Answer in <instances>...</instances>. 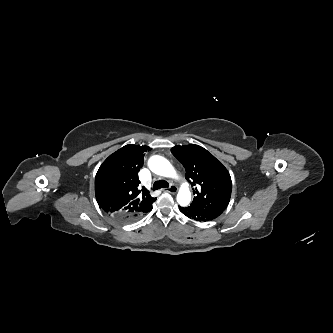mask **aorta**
<instances>
[{
  "label": "aorta",
  "instance_id": "obj_1",
  "mask_svg": "<svg viewBox=\"0 0 333 333\" xmlns=\"http://www.w3.org/2000/svg\"><path fill=\"white\" fill-rule=\"evenodd\" d=\"M150 170L160 176L177 178L178 175L171 163L164 157L159 155L152 156L148 161ZM191 201V193L188 185L184 184L177 194V202L180 206H187Z\"/></svg>",
  "mask_w": 333,
  "mask_h": 333
}]
</instances>
